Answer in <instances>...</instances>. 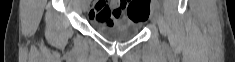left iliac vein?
Returning a JSON list of instances; mask_svg holds the SVG:
<instances>
[{"label":"left iliac vein","instance_id":"1","mask_svg":"<svg viewBox=\"0 0 235 62\" xmlns=\"http://www.w3.org/2000/svg\"><path fill=\"white\" fill-rule=\"evenodd\" d=\"M150 20L153 25H156V23H157V10H156L155 6H153L151 9Z\"/></svg>","mask_w":235,"mask_h":62}]
</instances>
